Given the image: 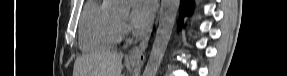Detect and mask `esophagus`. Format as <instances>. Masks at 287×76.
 Returning <instances> with one entry per match:
<instances>
[{"label":"esophagus","mask_w":287,"mask_h":76,"mask_svg":"<svg viewBox=\"0 0 287 76\" xmlns=\"http://www.w3.org/2000/svg\"><path fill=\"white\" fill-rule=\"evenodd\" d=\"M151 31L148 35L144 37V39L141 41L139 46L133 48L129 53H128V59L133 62H143L145 59V51L149 43Z\"/></svg>","instance_id":"obj_1"}]
</instances>
